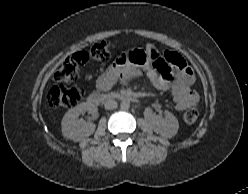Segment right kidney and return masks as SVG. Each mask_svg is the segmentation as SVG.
I'll use <instances>...</instances> for the list:
<instances>
[{"label":"right kidney","instance_id":"ca27d5eb","mask_svg":"<svg viewBox=\"0 0 248 194\" xmlns=\"http://www.w3.org/2000/svg\"><path fill=\"white\" fill-rule=\"evenodd\" d=\"M88 112L89 114H97L98 108L95 105L81 103L70 109L62 119V134L65 138L80 141L90 136L95 131V124L92 122H83L78 119L81 114Z\"/></svg>","mask_w":248,"mask_h":194}]
</instances>
